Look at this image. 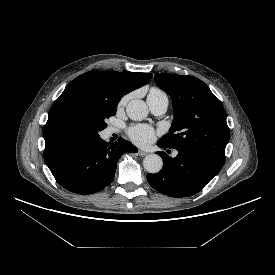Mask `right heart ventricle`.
Listing matches in <instances>:
<instances>
[{"mask_svg":"<svg viewBox=\"0 0 275 275\" xmlns=\"http://www.w3.org/2000/svg\"><path fill=\"white\" fill-rule=\"evenodd\" d=\"M148 97H167L163 91L158 88H151Z\"/></svg>","mask_w":275,"mask_h":275,"instance_id":"obj_1","label":"right heart ventricle"}]
</instances>
